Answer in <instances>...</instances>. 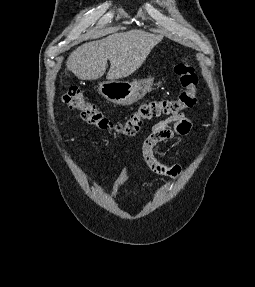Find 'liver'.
<instances>
[{
	"label": "liver",
	"instance_id": "1",
	"mask_svg": "<svg viewBox=\"0 0 255 287\" xmlns=\"http://www.w3.org/2000/svg\"><path fill=\"white\" fill-rule=\"evenodd\" d=\"M163 36L143 30H129L112 34L103 40L88 42L70 54L66 66L78 80H98L106 72L107 60L111 68L107 80H119L134 74L144 64L152 48Z\"/></svg>",
	"mask_w": 255,
	"mask_h": 287
}]
</instances>
